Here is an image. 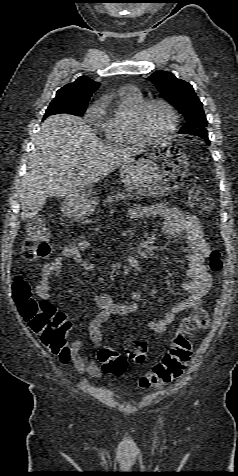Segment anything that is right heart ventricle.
Wrapping results in <instances>:
<instances>
[{
	"instance_id": "right-heart-ventricle-1",
	"label": "right heart ventricle",
	"mask_w": 238,
	"mask_h": 476,
	"mask_svg": "<svg viewBox=\"0 0 238 476\" xmlns=\"http://www.w3.org/2000/svg\"><path fill=\"white\" fill-rule=\"evenodd\" d=\"M110 104L98 109L99 129L111 144L123 146L140 142L132 130L131 120L137 106L144 100L134 89H123L110 96Z\"/></svg>"
}]
</instances>
